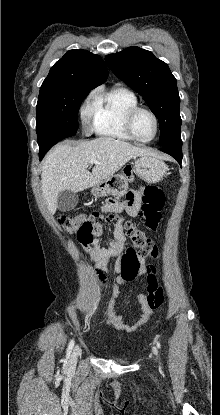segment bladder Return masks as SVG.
Segmentation results:
<instances>
[{
  "instance_id": "obj_1",
  "label": "bladder",
  "mask_w": 220,
  "mask_h": 415,
  "mask_svg": "<svg viewBox=\"0 0 220 415\" xmlns=\"http://www.w3.org/2000/svg\"><path fill=\"white\" fill-rule=\"evenodd\" d=\"M118 361L121 362V363H124V364L126 363V361L123 360V359H119Z\"/></svg>"
}]
</instances>
